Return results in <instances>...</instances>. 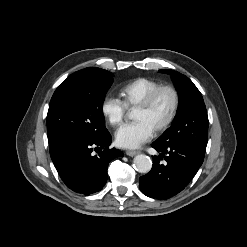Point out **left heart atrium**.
Returning <instances> with one entry per match:
<instances>
[{"label": "left heart atrium", "mask_w": 247, "mask_h": 247, "mask_svg": "<svg viewBox=\"0 0 247 247\" xmlns=\"http://www.w3.org/2000/svg\"><path fill=\"white\" fill-rule=\"evenodd\" d=\"M154 129L144 120L123 124L115 134L116 143L122 148L133 149L147 142Z\"/></svg>", "instance_id": "39dd6f15"}]
</instances>
